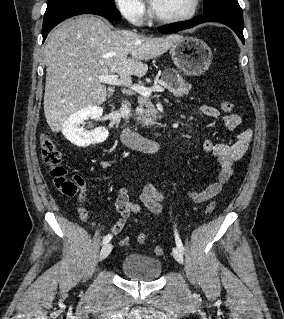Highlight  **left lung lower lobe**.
<instances>
[{"mask_svg":"<svg viewBox=\"0 0 284 319\" xmlns=\"http://www.w3.org/2000/svg\"><path fill=\"white\" fill-rule=\"evenodd\" d=\"M204 22H218L230 27L244 44V22L242 11L220 10L212 13H204L203 15L196 16L188 22L162 26L158 30L161 33H173L184 29L192 28Z\"/></svg>","mask_w":284,"mask_h":319,"instance_id":"1","label":"left lung lower lobe"}]
</instances>
